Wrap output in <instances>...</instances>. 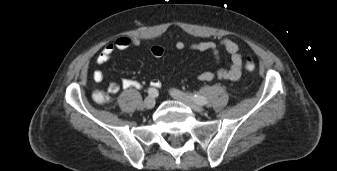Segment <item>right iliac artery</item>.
Here are the masks:
<instances>
[{
    "label": "right iliac artery",
    "instance_id": "obj_1",
    "mask_svg": "<svg viewBox=\"0 0 337 171\" xmlns=\"http://www.w3.org/2000/svg\"><path fill=\"white\" fill-rule=\"evenodd\" d=\"M148 93L152 97H157L159 95L158 90L155 88H149Z\"/></svg>",
    "mask_w": 337,
    "mask_h": 171
}]
</instances>
